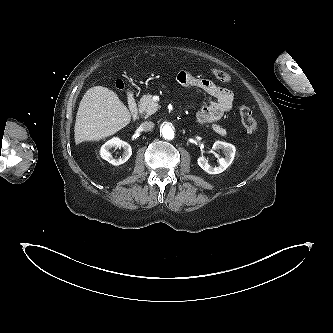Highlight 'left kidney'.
Wrapping results in <instances>:
<instances>
[{
  "label": "left kidney",
  "mask_w": 333,
  "mask_h": 333,
  "mask_svg": "<svg viewBox=\"0 0 333 333\" xmlns=\"http://www.w3.org/2000/svg\"><path fill=\"white\" fill-rule=\"evenodd\" d=\"M213 149L214 150H220L222 149L225 152V158H219V166L218 167H213L211 166L207 160L203 157L200 156L197 160L198 165L207 173L209 174H219L221 172H223L224 170H226V168H228L234 157H235V146L226 142H222V141H216L213 144Z\"/></svg>",
  "instance_id": "1"
}]
</instances>
